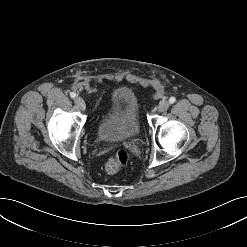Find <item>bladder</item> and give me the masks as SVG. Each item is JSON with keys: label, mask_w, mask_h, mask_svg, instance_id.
<instances>
[{"label": "bladder", "mask_w": 247, "mask_h": 247, "mask_svg": "<svg viewBox=\"0 0 247 247\" xmlns=\"http://www.w3.org/2000/svg\"><path fill=\"white\" fill-rule=\"evenodd\" d=\"M97 131L108 142H123L138 135V103L131 90L119 88L113 93L110 109L101 118Z\"/></svg>", "instance_id": "obj_1"}]
</instances>
